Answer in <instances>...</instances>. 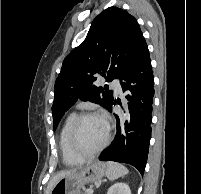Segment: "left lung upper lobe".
I'll use <instances>...</instances> for the list:
<instances>
[{
    "mask_svg": "<svg viewBox=\"0 0 201 194\" xmlns=\"http://www.w3.org/2000/svg\"><path fill=\"white\" fill-rule=\"evenodd\" d=\"M144 40L137 20L127 11L109 7L96 16L86 39L64 59L56 79L54 130L78 99L109 110L113 104L112 91L95 85L97 75L104 76L107 82L121 79Z\"/></svg>",
    "mask_w": 201,
    "mask_h": 194,
    "instance_id": "1",
    "label": "left lung upper lobe"
}]
</instances>
